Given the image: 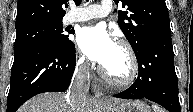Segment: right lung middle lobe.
I'll return each instance as SVG.
<instances>
[{
	"label": "right lung middle lobe",
	"instance_id": "1",
	"mask_svg": "<svg viewBox=\"0 0 193 112\" xmlns=\"http://www.w3.org/2000/svg\"><path fill=\"white\" fill-rule=\"evenodd\" d=\"M62 23L41 24L16 30V40L14 43V54L36 45L38 43L50 41L64 49L74 47L73 42L67 35L63 34Z\"/></svg>",
	"mask_w": 193,
	"mask_h": 112
}]
</instances>
